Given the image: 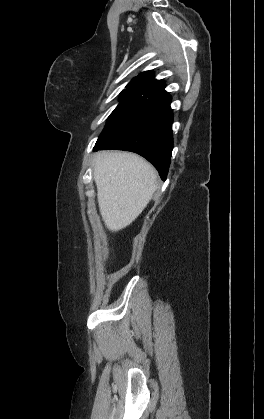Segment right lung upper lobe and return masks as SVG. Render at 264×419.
Wrapping results in <instances>:
<instances>
[{"label": "right lung upper lobe", "instance_id": "cb5924a9", "mask_svg": "<svg viewBox=\"0 0 264 419\" xmlns=\"http://www.w3.org/2000/svg\"><path fill=\"white\" fill-rule=\"evenodd\" d=\"M164 87V81L155 80L152 71H146L133 78L126 86V89L149 98H154L168 94L164 90Z\"/></svg>", "mask_w": 264, "mask_h": 419}]
</instances>
